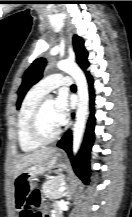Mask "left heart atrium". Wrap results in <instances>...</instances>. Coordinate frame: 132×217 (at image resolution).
Segmentation results:
<instances>
[{"mask_svg":"<svg viewBox=\"0 0 132 217\" xmlns=\"http://www.w3.org/2000/svg\"><path fill=\"white\" fill-rule=\"evenodd\" d=\"M69 114V101L65 93H60L54 100V118L58 126L67 120Z\"/></svg>","mask_w":132,"mask_h":217,"instance_id":"obj_1","label":"left heart atrium"}]
</instances>
